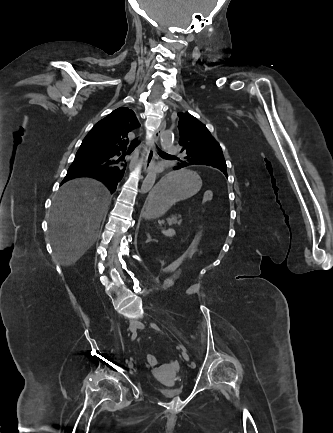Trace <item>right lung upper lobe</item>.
<instances>
[{
    "label": "right lung upper lobe",
    "mask_w": 333,
    "mask_h": 433,
    "mask_svg": "<svg viewBox=\"0 0 333 433\" xmlns=\"http://www.w3.org/2000/svg\"><path fill=\"white\" fill-rule=\"evenodd\" d=\"M139 125L135 113L121 107L96 123L85 139L88 137L93 148L104 154L120 152L128 144L127 134Z\"/></svg>",
    "instance_id": "1"
}]
</instances>
